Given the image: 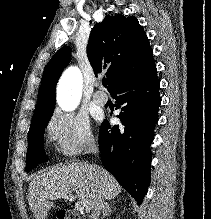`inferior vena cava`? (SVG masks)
Here are the masks:
<instances>
[{"label": "inferior vena cava", "mask_w": 211, "mask_h": 219, "mask_svg": "<svg viewBox=\"0 0 211 219\" xmlns=\"http://www.w3.org/2000/svg\"><path fill=\"white\" fill-rule=\"evenodd\" d=\"M90 152L94 154L99 153L98 147L95 142L91 144ZM102 208H104V200L101 196H98L93 202L91 218L99 219Z\"/></svg>", "instance_id": "602c4592"}]
</instances>
